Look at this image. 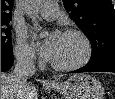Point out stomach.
<instances>
[{
  "label": "stomach",
  "mask_w": 115,
  "mask_h": 99,
  "mask_svg": "<svg viewBox=\"0 0 115 99\" xmlns=\"http://www.w3.org/2000/svg\"><path fill=\"white\" fill-rule=\"evenodd\" d=\"M51 87L65 99H102L104 94L101 82L87 74H75L64 83Z\"/></svg>",
  "instance_id": "obj_1"
}]
</instances>
